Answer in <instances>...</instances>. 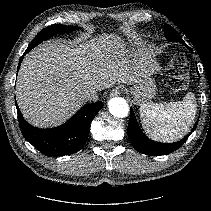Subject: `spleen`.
<instances>
[{
	"label": "spleen",
	"instance_id": "3e777b00",
	"mask_svg": "<svg viewBox=\"0 0 211 211\" xmlns=\"http://www.w3.org/2000/svg\"><path fill=\"white\" fill-rule=\"evenodd\" d=\"M196 115V99L189 92L182 101L143 103L140 119L145 132L154 140L173 142L190 130Z\"/></svg>",
	"mask_w": 211,
	"mask_h": 211
}]
</instances>
